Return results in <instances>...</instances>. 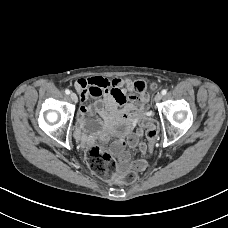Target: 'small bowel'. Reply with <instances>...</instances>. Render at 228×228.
I'll use <instances>...</instances> for the list:
<instances>
[{
  "instance_id": "obj_1",
  "label": "small bowel",
  "mask_w": 228,
  "mask_h": 228,
  "mask_svg": "<svg viewBox=\"0 0 228 228\" xmlns=\"http://www.w3.org/2000/svg\"><path fill=\"white\" fill-rule=\"evenodd\" d=\"M75 87L83 102L77 118L78 139L82 143H88L92 139V133L99 131L101 127H111L115 121H119L118 126L113 129V133L119 137L113 147L121 167L143 171L146 168V161L141 159L129 164L130 153L125 147L138 146L142 154L146 153L147 147L142 140V130L138 129L134 133H130L129 130L134 122H140L147 115L148 94L138 93L135 90V83L129 78L109 80L103 77H89L79 79ZM90 97L94 98L95 102L85 104ZM96 115L100 118L89 119ZM124 135H127L125 140L122 139Z\"/></svg>"
}]
</instances>
